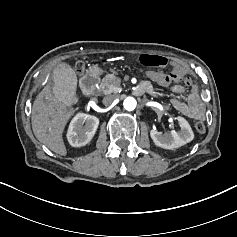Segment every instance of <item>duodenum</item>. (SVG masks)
Here are the masks:
<instances>
[{"mask_svg":"<svg viewBox=\"0 0 237 237\" xmlns=\"http://www.w3.org/2000/svg\"><path fill=\"white\" fill-rule=\"evenodd\" d=\"M99 74L95 68L87 70L80 78V86L85 95H90L98 82Z\"/></svg>","mask_w":237,"mask_h":237,"instance_id":"1","label":"duodenum"}]
</instances>
